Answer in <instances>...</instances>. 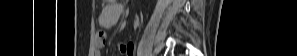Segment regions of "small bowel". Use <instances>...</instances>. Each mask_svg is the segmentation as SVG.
Wrapping results in <instances>:
<instances>
[{"label": "small bowel", "instance_id": "c3829d8e", "mask_svg": "<svg viewBox=\"0 0 297 56\" xmlns=\"http://www.w3.org/2000/svg\"><path fill=\"white\" fill-rule=\"evenodd\" d=\"M124 1L122 0H110L105 3L102 7L101 14L99 16V22L102 27L108 29L117 24L123 11ZM107 36L105 32H100L98 34L97 47L102 50L106 47ZM119 50L122 53L131 55L133 51V46L125 43L119 45ZM99 55V52L98 54Z\"/></svg>", "mask_w": 297, "mask_h": 56}]
</instances>
